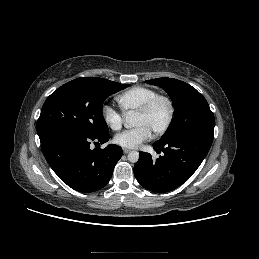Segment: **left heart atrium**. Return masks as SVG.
<instances>
[{"instance_id":"left-heart-atrium-1","label":"left heart atrium","mask_w":259,"mask_h":259,"mask_svg":"<svg viewBox=\"0 0 259 259\" xmlns=\"http://www.w3.org/2000/svg\"><path fill=\"white\" fill-rule=\"evenodd\" d=\"M152 137V131L146 126H137L115 135L113 141L120 147L135 149Z\"/></svg>"}]
</instances>
